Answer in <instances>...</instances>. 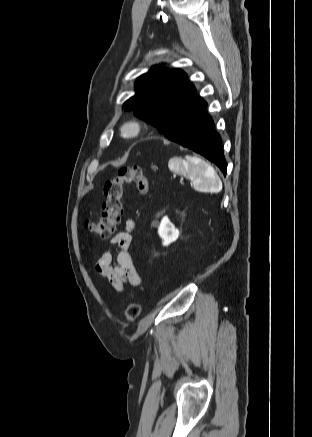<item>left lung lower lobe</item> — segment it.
<instances>
[{"label": "left lung lower lobe", "mask_w": 312, "mask_h": 437, "mask_svg": "<svg viewBox=\"0 0 312 437\" xmlns=\"http://www.w3.org/2000/svg\"><path fill=\"white\" fill-rule=\"evenodd\" d=\"M206 108L207 103L173 142L203 155L216 164L226 175L227 163L223 154L221 137L215 131L213 120L208 115Z\"/></svg>", "instance_id": "obj_1"}]
</instances>
